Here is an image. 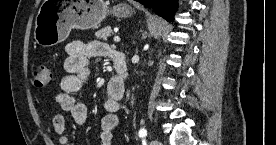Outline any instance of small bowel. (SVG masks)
<instances>
[{
  "label": "small bowel",
  "mask_w": 276,
  "mask_h": 145,
  "mask_svg": "<svg viewBox=\"0 0 276 145\" xmlns=\"http://www.w3.org/2000/svg\"><path fill=\"white\" fill-rule=\"evenodd\" d=\"M67 58L64 68L67 75L61 81V89L56 94L55 100L62 110L68 111L77 125L85 124L88 116L87 106L74 97L80 91L89 74V62L95 57L112 56V49L100 41H73L66 46ZM107 85V98L104 108L107 114L101 122V143L100 145H114L113 132L118 125L117 112L120 109L124 92L118 91ZM53 128L59 137L61 145H70V139L66 134L65 118L62 114L53 117Z\"/></svg>",
  "instance_id": "obj_1"
}]
</instances>
